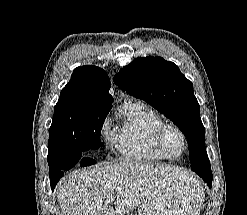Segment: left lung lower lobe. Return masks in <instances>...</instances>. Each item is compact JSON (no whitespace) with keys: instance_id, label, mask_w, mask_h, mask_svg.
<instances>
[{"instance_id":"obj_1","label":"left lung lower lobe","mask_w":247,"mask_h":215,"mask_svg":"<svg viewBox=\"0 0 247 215\" xmlns=\"http://www.w3.org/2000/svg\"><path fill=\"white\" fill-rule=\"evenodd\" d=\"M194 172H196L211 188L212 185V171L210 167L209 159L203 160L196 167L191 168Z\"/></svg>"}]
</instances>
